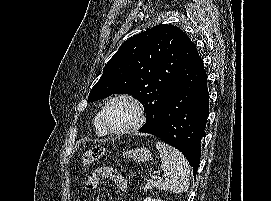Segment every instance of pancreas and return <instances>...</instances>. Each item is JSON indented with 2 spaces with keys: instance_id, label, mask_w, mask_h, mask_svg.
<instances>
[{
  "instance_id": "cf45deb5",
  "label": "pancreas",
  "mask_w": 271,
  "mask_h": 201,
  "mask_svg": "<svg viewBox=\"0 0 271 201\" xmlns=\"http://www.w3.org/2000/svg\"><path fill=\"white\" fill-rule=\"evenodd\" d=\"M154 187L159 188V190H165V188L163 187V185L161 184L160 181L149 180L145 184L144 192L151 191V190H153Z\"/></svg>"
}]
</instances>
